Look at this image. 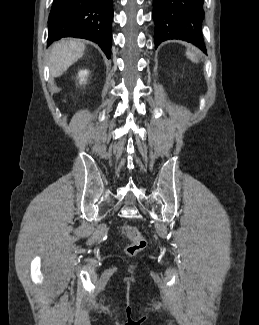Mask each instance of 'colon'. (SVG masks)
Listing matches in <instances>:
<instances>
[{
	"label": "colon",
	"instance_id": "colon-1",
	"mask_svg": "<svg viewBox=\"0 0 259 325\" xmlns=\"http://www.w3.org/2000/svg\"><path fill=\"white\" fill-rule=\"evenodd\" d=\"M122 232L125 238L129 241V244L125 249L129 256H135L145 248L146 240L136 227L125 225Z\"/></svg>",
	"mask_w": 259,
	"mask_h": 325
}]
</instances>
